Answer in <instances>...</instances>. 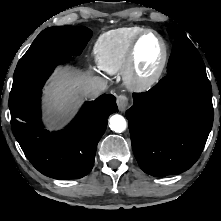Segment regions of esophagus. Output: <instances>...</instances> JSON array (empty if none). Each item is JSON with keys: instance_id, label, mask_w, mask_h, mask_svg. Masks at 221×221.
Returning <instances> with one entry per match:
<instances>
[{"instance_id": "obj_1", "label": "esophagus", "mask_w": 221, "mask_h": 221, "mask_svg": "<svg viewBox=\"0 0 221 221\" xmlns=\"http://www.w3.org/2000/svg\"><path fill=\"white\" fill-rule=\"evenodd\" d=\"M117 105L120 111H125L128 106V98L125 95L117 96Z\"/></svg>"}]
</instances>
